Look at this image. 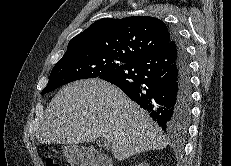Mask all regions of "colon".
Returning a JSON list of instances; mask_svg holds the SVG:
<instances>
[{
	"label": "colon",
	"instance_id": "1",
	"mask_svg": "<svg viewBox=\"0 0 231 166\" xmlns=\"http://www.w3.org/2000/svg\"><path fill=\"white\" fill-rule=\"evenodd\" d=\"M46 166H60V164L56 158H54L52 156H47L46 157Z\"/></svg>",
	"mask_w": 231,
	"mask_h": 166
}]
</instances>
